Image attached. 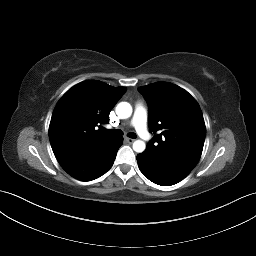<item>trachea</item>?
<instances>
[{"mask_svg": "<svg viewBox=\"0 0 256 256\" xmlns=\"http://www.w3.org/2000/svg\"><path fill=\"white\" fill-rule=\"evenodd\" d=\"M110 133H112L114 135H122V131L120 129L110 130ZM128 137L135 139L136 134L134 132H130V133H128Z\"/></svg>", "mask_w": 256, "mask_h": 256, "instance_id": "trachea-1", "label": "trachea"}]
</instances>
